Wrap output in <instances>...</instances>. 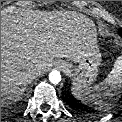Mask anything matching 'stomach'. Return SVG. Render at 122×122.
Segmentation results:
<instances>
[{
    "instance_id": "1",
    "label": "stomach",
    "mask_w": 122,
    "mask_h": 122,
    "mask_svg": "<svg viewBox=\"0 0 122 122\" xmlns=\"http://www.w3.org/2000/svg\"><path fill=\"white\" fill-rule=\"evenodd\" d=\"M66 67V72L73 77V85L86 88L96 79L98 74V67L101 63V55L98 48L88 51L83 58H81L76 66L65 61L60 62Z\"/></svg>"
}]
</instances>
